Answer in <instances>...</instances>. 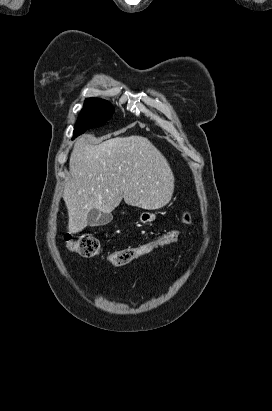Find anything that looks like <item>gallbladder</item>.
I'll return each instance as SVG.
<instances>
[{
    "label": "gallbladder",
    "instance_id": "1",
    "mask_svg": "<svg viewBox=\"0 0 272 411\" xmlns=\"http://www.w3.org/2000/svg\"><path fill=\"white\" fill-rule=\"evenodd\" d=\"M111 220V216L108 214H102L98 209L94 208L88 213L87 224L88 226H101L106 225Z\"/></svg>",
    "mask_w": 272,
    "mask_h": 411
}]
</instances>
